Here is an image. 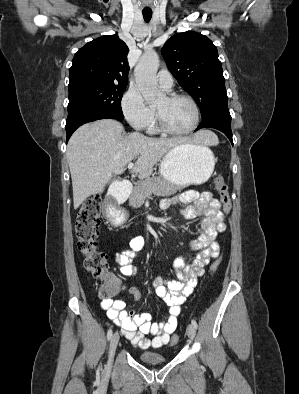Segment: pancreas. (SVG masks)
<instances>
[{
    "mask_svg": "<svg viewBox=\"0 0 299 394\" xmlns=\"http://www.w3.org/2000/svg\"><path fill=\"white\" fill-rule=\"evenodd\" d=\"M180 189V186L170 184L161 177L147 178L140 181L134 188L129 203L133 208H138L143 205L146 197L152 194L156 196H170Z\"/></svg>",
    "mask_w": 299,
    "mask_h": 394,
    "instance_id": "1",
    "label": "pancreas"
}]
</instances>
